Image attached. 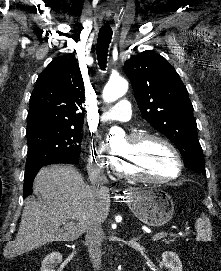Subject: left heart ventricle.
I'll return each instance as SVG.
<instances>
[{
	"label": "left heart ventricle",
	"mask_w": 221,
	"mask_h": 271,
	"mask_svg": "<svg viewBox=\"0 0 221 271\" xmlns=\"http://www.w3.org/2000/svg\"><path fill=\"white\" fill-rule=\"evenodd\" d=\"M161 141L156 138H147L144 141H135L138 156H121L114 160L119 175H148V177H177L176 166L173 165L170 153L171 147H162L157 144Z\"/></svg>",
	"instance_id": "obj_1"
}]
</instances>
